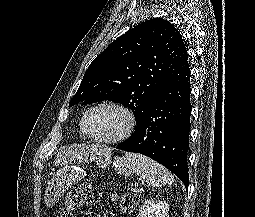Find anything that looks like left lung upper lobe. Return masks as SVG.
<instances>
[{
    "mask_svg": "<svg viewBox=\"0 0 255 217\" xmlns=\"http://www.w3.org/2000/svg\"><path fill=\"white\" fill-rule=\"evenodd\" d=\"M187 58L180 32L167 20H147L92 61L69 107L109 100L130 108L137 125L165 81Z\"/></svg>",
    "mask_w": 255,
    "mask_h": 217,
    "instance_id": "1",
    "label": "left lung upper lobe"
}]
</instances>
